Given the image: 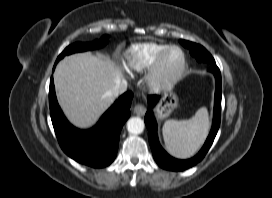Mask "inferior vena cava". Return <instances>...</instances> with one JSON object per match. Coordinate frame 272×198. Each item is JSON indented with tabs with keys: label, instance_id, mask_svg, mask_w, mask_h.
Instances as JSON below:
<instances>
[{
	"label": "inferior vena cava",
	"instance_id": "inferior-vena-cava-1",
	"mask_svg": "<svg viewBox=\"0 0 272 198\" xmlns=\"http://www.w3.org/2000/svg\"><path fill=\"white\" fill-rule=\"evenodd\" d=\"M126 89H127L126 80H121L110 91L107 92V95L111 97H117L119 94L125 92Z\"/></svg>",
	"mask_w": 272,
	"mask_h": 198
}]
</instances>
